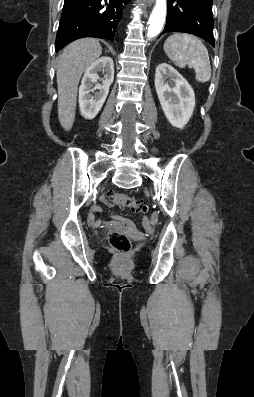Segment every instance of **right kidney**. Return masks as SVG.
<instances>
[{"mask_svg":"<svg viewBox=\"0 0 254 397\" xmlns=\"http://www.w3.org/2000/svg\"><path fill=\"white\" fill-rule=\"evenodd\" d=\"M101 71L105 73V79L102 85L96 84L93 87L99 79L98 72ZM113 80L114 63L111 57L103 56L87 68L79 87V106L84 118L89 120L95 118L107 98Z\"/></svg>","mask_w":254,"mask_h":397,"instance_id":"right-kidney-1","label":"right kidney"}]
</instances>
